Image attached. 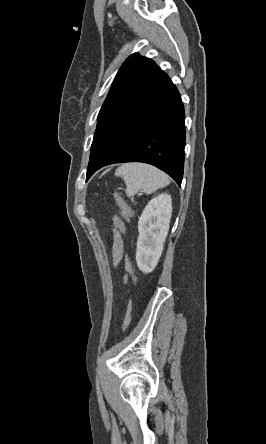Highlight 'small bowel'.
Returning <instances> with one entry per match:
<instances>
[{
    "mask_svg": "<svg viewBox=\"0 0 266 444\" xmlns=\"http://www.w3.org/2000/svg\"><path fill=\"white\" fill-rule=\"evenodd\" d=\"M126 269L128 270L129 274H131V264L129 260H126ZM128 280V276L125 277V282Z\"/></svg>",
    "mask_w": 266,
    "mask_h": 444,
    "instance_id": "small-bowel-1",
    "label": "small bowel"
}]
</instances>
